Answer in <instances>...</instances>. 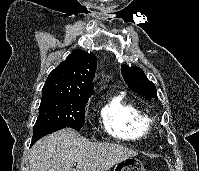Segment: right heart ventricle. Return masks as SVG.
<instances>
[{"label":"right heart ventricle","instance_id":"1","mask_svg":"<svg viewBox=\"0 0 199 171\" xmlns=\"http://www.w3.org/2000/svg\"><path fill=\"white\" fill-rule=\"evenodd\" d=\"M100 122L110 136L127 141L146 139L151 133L147 114L123 92L115 93L100 107Z\"/></svg>","mask_w":199,"mask_h":171}]
</instances>
